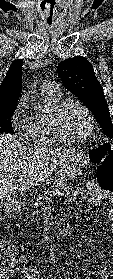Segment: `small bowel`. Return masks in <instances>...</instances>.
I'll return each mask as SVG.
<instances>
[{
  "label": "small bowel",
  "instance_id": "small-bowel-1",
  "mask_svg": "<svg viewBox=\"0 0 113 279\" xmlns=\"http://www.w3.org/2000/svg\"><path fill=\"white\" fill-rule=\"evenodd\" d=\"M79 194H87L88 201L93 204V205H99L101 204L102 200L107 199L110 201L111 205L113 204V194H106V193H101L96 190L95 185L93 182H89L87 184L86 189H80L78 191ZM109 218L111 220V227L113 229V208L111 207L109 211ZM24 275H26L27 279H39L40 274L36 268H26L23 271ZM76 279H89L88 277L82 276L80 273L76 272ZM8 273L4 272V274H0V279H8L7 278ZM113 276V271L112 274L105 268L101 267L99 272H98V278L99 279H111Z\"/></svg>",
  "mask_w": 113,
  "mask_h": 279
}]
</instances>
